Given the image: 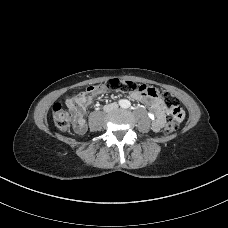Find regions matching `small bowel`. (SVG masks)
<instances>
[{
    "label": "small bowel",
    "mask_w": 228,
    "mask_h": 228,
    "mask_svg": "<svg viewBox=\"0 0 228 228\" xmlns=\"http://www.w3.org/2000/svg\"><path fill=\"white\" fill-rule=\"evenodd\" d=\"M103 91V87L92 85L66 100V105L73 111L75 115V129L77 132L82 133L85 131L83 112L93 103V97L102 93ZM129 95L136 101H141L148 104L154 110L155 119L153 121V129L155 131L161 130L164 124L166 110L160 98L150 97L140 91H131L129 92Z\"/></svg>",
    "instance_id": "small-bowel-1"
}]
</instances>
